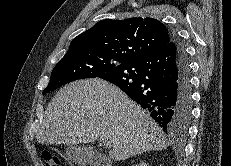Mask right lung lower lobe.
<instances>
[{
  "label": "right lung lower lobe",
  "mask_w": 231,
  "mask_h": 166,
  "mask_svg": "<svg viewBox=\"0 0 231 166\" xmlns=\"http://www.w3.org/2000/svg\"><path fill=\"white\" fill-rule=\"evenodd\" d=\"M123 90L172 136L187 131L192 89L186 52L175 34L161 50L98 76Z\"/></svg>",
  "instance_id": "1"
}]
</instances>
